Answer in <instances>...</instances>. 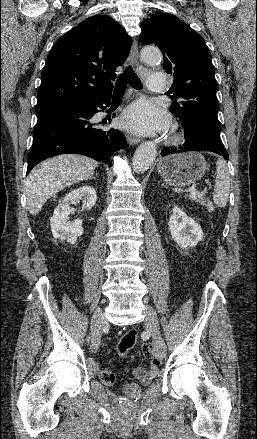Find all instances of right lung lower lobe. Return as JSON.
<instances>
[{
	"mask_svg": "<svg viewBox=\"0 0 257 439\" xmlns=\"http://www.w3.org/2000/svg\"><path fill=\"white\" fill-rule=\"evenodd\" d=\"M110 99L111 95L38 115L34 142L27 157V174L39 162L67 153L86 155L112 166L110 158L125 147V138L119 130L107 129V120L97 122L93 119L98 108L110 105Z\"/></svg>",
	"mask_w": 257,
	"mask_h": 439,
	"instance_id": "98d812e1",
	"label": "right lung lower lobe"
}]
</instances>
